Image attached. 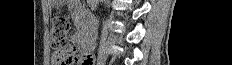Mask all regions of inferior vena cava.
<instances>
[{
  "mask_svg": "<svg viewBox=\"0 0 232 65\" xmlns=\"http://www.w3.org/2000/svg\"><path fill=\"white\" fill-rule=\"evenodd\" d=\"M87 3L89 4V6L91 7L92 10L96 9L98 0H87Z\"/></svg>",
  "mask_w": 232,
  "mask_h": 65,
  "instance_id": "602c4592",
  "label": "inferior vena cava"
}]
</instances>
